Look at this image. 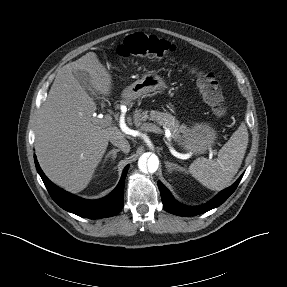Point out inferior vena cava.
I'll return each mask as SVG.
<instances>
[{
	"label": "inferior vena cava",
	"instance_id": "602c4592",
	"mask_svg": "<svg viewBox=\"0 0 287 287\" xmlns=\"http://www.w3.org/2000/svg\"><path fill=\"white\" fill-rule=\"evenodd\" d=\"M110 142L114 146L120 148L124 153H128L130 151V144L125 138L113 136L110 138Z\"/></svg>",
	"mask_w": 287,
	"mask_h": 287
}]
</instances>
